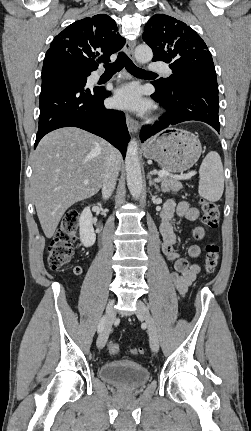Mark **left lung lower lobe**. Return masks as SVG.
I'll return each mask as SVG.
<instances>
[{
  "label": "left lung lower lobe",
  "mask_w": 251,
  "mask_h": 431,
  "mask_svg": "<svg viewBox=\"0 0 251 431\" xmlns=\"http://www.w3.org/2000/svg\"><path fill=\"white\" fill-rule=\"evenodd\" d=\"M152 84L155 86L156 92L151 97L166 108V113L153 127L141 130V142L169 126L190 120L205 122L219 132L217 83L189 82L179 86L171 94L164 93L154 82Z\"/></svg>",
  "instance_id": "left-lung-lower-lobe-1"
}]
</instances>
